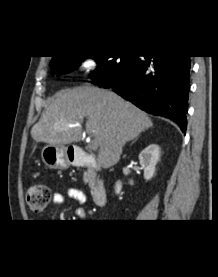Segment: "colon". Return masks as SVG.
<instances>
[{
  "label": "colon",
  "instance_id": "obj_1",
  "mask_svg": "<svg viewBox=\"0 0 218 277\" xmlns=\"http://www.w3.org/2000/svg\"><path fill=\"white\" fill-rule=\"evenodd\" d=\"M51 197L49 187L43 184L31 185L26 191V202L32 212H42Z\"/></svg>",
  "mask_w": 218,
  "mask_h": 277
}]
</instances>
